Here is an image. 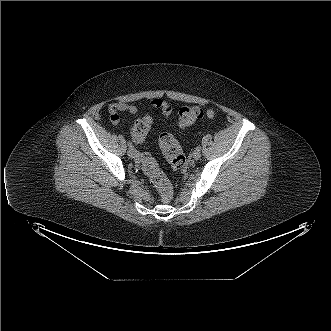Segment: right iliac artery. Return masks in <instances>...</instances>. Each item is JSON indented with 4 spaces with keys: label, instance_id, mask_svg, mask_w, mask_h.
<instances>
[{
    "label": "right iliac artery",
    "instance_id": "right-iliac-artery-1",
    "mask_svg": "<svg viewBox=\"0 0 331 331\" xmlns=\"http://www.w3.org/2000/svg\"><path fill=\"white\" fill-rule=\"evenodd\" d=\"M127 145H128V147H130V148L133 147V145H132V143H131L130 141L127 142Z\"/></svg>",
    "mask_w": 331,
    "mask_h": 331
}]
</instances>
